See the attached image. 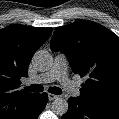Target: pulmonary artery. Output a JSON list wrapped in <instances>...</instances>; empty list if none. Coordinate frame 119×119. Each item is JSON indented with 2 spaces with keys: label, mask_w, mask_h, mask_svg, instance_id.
<instances>
[{
  "label": "pulmonary artery",
  "mask_w": 119,
  "mask_h": 119,
  "mask_svg": "<svg viewBox=\"0 0 119 119\" xmlns=\"http://www.w3.org/2000/svg\"><path fill=\"white\" fill-rule=\"evenodd\" d=\"M67 69L66 56L58 54L54 59L52 67L47 72L30 79L28 83H49L57 80L65 90L73 95H77L79 90L68 78Z\"/></svg>",
  "instance_id": "1"
}]
</instances>
